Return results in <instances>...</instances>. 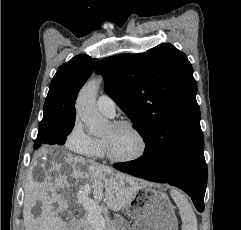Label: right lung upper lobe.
Segmentation results:
<instances>
[{
	"label": "right lung upper lobe",
	"mask_w": 241,
	"mask_h": 230,
	"mask_svg": "<svg viewBox=\"0 0 241 230\" xmlns=\"http://www.w3.org/2000/svg\"><path fill=\"white\" fill-rule=\"evenodd\" d=\"M98 62V59L80 54L61 65L50 83L43 117L57 121L75 119L74 101Z\"/></svg>",
	"instance_id": "obj_1"
}]
</instances>
